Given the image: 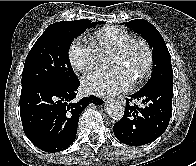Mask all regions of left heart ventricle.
Instances as JSON below:
<instances>
[{"label":"left heart ventricle","instance_id":"1","mask_svg":"<svg viewBox=\"0 0 196 166\" xmlns=\"http://www.w3.org/2000/svg\"><path fill=\"white\" fill-rule=\"evenodd\" d=\"M146 52L141 46H136L127 58H121L118 55H114L111 67L122 68L127 71L133 79H135L143 70L146 64Z\"/></svg>","mask_w":196,"mask_h":166}]
</instances>
